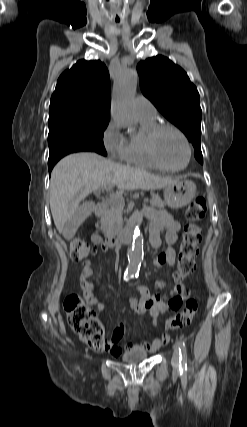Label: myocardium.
Here are the masks:
<instances>
[{"instance_id":"obj_1","label":"myocardium","mask_w":247,"mask_h":427,"mask_svg":"<svg viewBox=\"0 0 247 427\" xmlns=\"http://www.w3.org/2000/svg\"><path fill=\"white\" fill-rule=\"evenodd\" d=\"M165 130H172L175 133H177L185 145L187 157H186L185 163L181 167L171 168V167L165 166L160 161V159L158 158V155L156 152V141H157V138L160 135V133L165 131ZM145 147H146L147 154H148L149 158L151 159V161L153 162V164L158 169H161L163 171L180 172V171L186 169V167L189 165V163L191 161L192 149H191V145H190V142H189L187 136L185 135V133L180 128H178L177 126L170 124V123L156 124L153 128H151L145 137Z\"/></svg>"}]
</instances>
